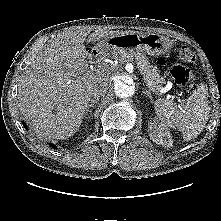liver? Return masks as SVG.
<instances>
[{"label":"liver","mask_w":221,"mask_h":221,"mask_svg":"<svg viewBox=\"0 0 221 221\" xmlns=\"http://www.w3.org/2000/svg\"><path fill=\"white\" fill-rule=\"evenodd\" d=\"M129 32L95 31L88 36V42ZM87 35L86 31L59 34L22 75L18 91L20 112L43 137H71L82 123L92 89L104 82L108 89L110 72L88 71L89 53L84 45ZM97 47L98 44L96 50Z\"/></svg>","instance_id":"1"}]
</instances>
